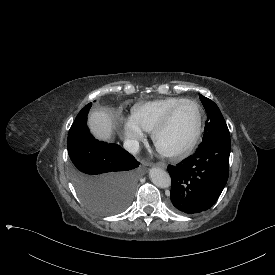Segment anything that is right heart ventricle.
<instances>
[{
    "label": "right heart ventricle",
    "instance_id": "e07e8e85",
    "mask_svg": "<svg viewBox=\"0 0 275 275\" xmlns=\"http://www.w3.org/2000/svg\"><path fill=\"white\" fill-rule=\"evenodd\" d=\"M186 100L181 97H167L135 105L131 109L130 121L144 132H152L166 113L177 103Z\"/></svg>",
    "mask_w": 275,
    "mask_h": 275
}]
</instances>
